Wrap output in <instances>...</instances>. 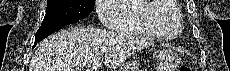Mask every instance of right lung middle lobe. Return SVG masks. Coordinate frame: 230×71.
I'll use <instances>...</instances> for the list:
<instances>
[{"label":"right lung middle lobe","instance_id":"obj_1","mask_svg":"<svg viewBox=\"0 0 230 71\" xmlns=\"http://www.w3.org/2000/svg\"><path fill=\"white\" fill-rule=\"evenodd\" d=\"M95 0H48L42 25L86 18L94 10Z\"/></svg>","mask_w":230,"mask_h":71}]
</instances>
